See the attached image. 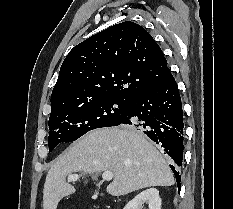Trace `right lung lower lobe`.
Here are the masks:
<instances>
[{
  "mask_svg": "<svg viewBox=\"0 0 233 209\" xmlns=\"http://www.w3.org/2000/svg\"><path fill=\"white\" fill-rule=\"evenodd\" d=\"M122 124L144 132L164 148L175 164L170 167L180 189L181 175L177 166L182 165L183 159L184 123L181 98L172 74L156 88L134 96L125 118L112 126Z\"/></svg>",
  "mask_w": 233,
  "mask_h": 209,
  "instance_id": "obj_1",
  "label": "right lung lower lobe"
}]
</instances>
